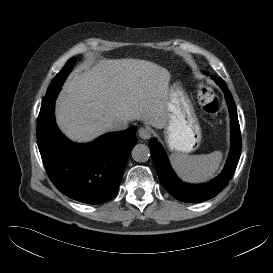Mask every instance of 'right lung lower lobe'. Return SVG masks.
I'll return each instance as SVG.
<instances>
[{
	"instance_id": "obj_1",
	"label": "right lung lower lobe",
	"mask_w": 273,
	"mask_h": 273,
	"mask_svg": "<svg viewBox=\"0 0 273 273\" xmlns=\"http://www.w3.org/2000/svg\"><path fill=\"white\" fill-rule=\"evenodd\" d=\"M59 89L42 101L37 120V141L42 161L53 184L64 195L87 204H101L116 193L124 168L136 144V128L105 134L87 144L69 141L55 123Z\"/></svg>"
}]
</instances>
